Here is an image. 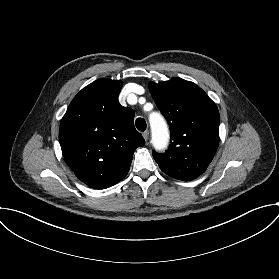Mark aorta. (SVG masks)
<instances>
[{
  "instance_id": "1",
  "label": "aorta",
  "mask_w": 279,
  "mask_h": 279,
  "mask_svg": "<svg viewBox=\"0 0 279 279\" xmlns=\"http://www.w3.org/2000/svg\"><path fill=\"white\" fill-rule=\"evenodd\" d=\"M150 122L153 132V141L155 145L159 148L165 147L168 133L164 120L159 115L154 114L151 116Z\"/></svg>"
}]
</instances>
